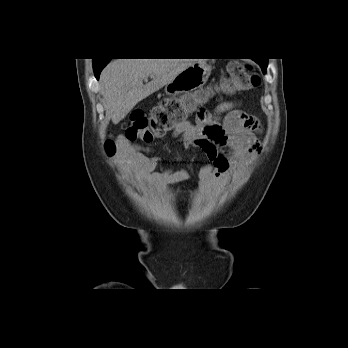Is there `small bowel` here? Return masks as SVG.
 <instances>
[{"mask_svg": "<svg viewBox=\"0 0 348 348\" xmlns=\"http://www.w3.org/2000/svg\"><path fill=\"white\" fill-rule=\"evenodd\" d=\"M199 116L195 124L185 122L176 127L173 137L184 148L197 147L207 155L208 162L199 171V186L206 191L219 186L223 176L238 177L251 163L260 147V123L240 110L235 101L220 103L214 114L200 109ZM118 146L119 162L142 185L153 184L165 190L189 177L183 168L157 170L161 160L148 155L151 148L131 145L123 136L118 138Z\"/></svg>", "mask_w": 348, "mask_h": 348, "instance_id": "small-bowel-1", "label": "small bowel"}]
</instances>
